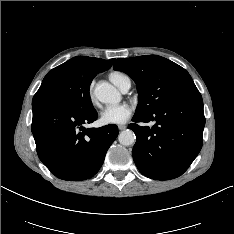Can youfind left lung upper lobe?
I'll return each mask as SVG.
<instances>
[{"label": "left lung upper lobe", "mask_w": 234, "mask_h": 234, "mask_svg": "<svg viewBox=\"0 0 234 234\" xmlns=\"http://www.w3.org/2000/svg\"><path fill=\"white\" fill-rule=\"evenodd\" d=\"M113 68L125 72L136 83L139 103L133 117L146 116L170 101L198 91L184 68L161 56L119 58Z\"/></svg>", "instance_id": "left-lung-upper-lobe-1"}]
</instances>
